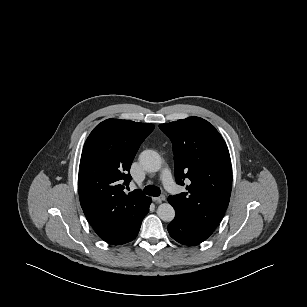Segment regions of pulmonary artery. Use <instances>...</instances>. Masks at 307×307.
Listing matches in <instances>:
<instances>
[{
    "mask_svg": "<svg viewBox=\"0 0 307 307\" xmlns=\"http://www.w3.org/2000/svg\"><path fill=\"white\" fill-rule=\"evenodd\" d=\"M161 181L165 189L171 193H176L177 187L168 168H164L161 174Z\"/></svg>",
    "mask_w": 307,
    "mask_h": 307,
    "instance_id": "pulmonary-artery-1",
    "label": "pulmonary artery"
}]
</instances>
